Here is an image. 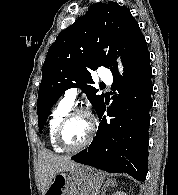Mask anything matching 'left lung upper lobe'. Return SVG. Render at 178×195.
Masks as SVG:
<instances>
[{
  "mask_svg": "<svg viewBox=\"0 0 178 195\" xmlns=\"http://www.w3.org/2000/svg\"><path fill=\"white\" fill-rule=\"evenodd\" d=\"M110 46L112 53L103 51ZM148 51L145 37L130 10L116 2L97 3L74 24L63 30L50 46L42 67V81L37 100L38 126L41 131L47 114L65 90L84 89L96 112L102 106L103 95L93 83L89 69L99 66L118 74L115 55L126 68Z\"/></svg>",
  "mask_w": 178,
  "mask_h": 195,
  "instance_id": "left-lung-upper-lobe-1",
  "label": "left lung upper lobe"
}]
</instances>
